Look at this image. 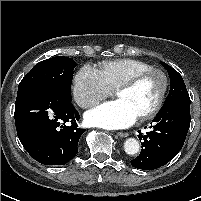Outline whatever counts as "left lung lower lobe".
Returning <instances> with one entry per match:
<instances>
[{
	"label": "left lung lower lobe",
	"instance_id": "left-lung-lower-lobe-1",
	"mask_svg": "<svg viewBox=\"0 0 201 201\" xmlns=\"http://www.w3.org/2000/svg\"><path fill=\"white\" fill-rule=\"evenodd\" d=\"M189 127L190 98L164 104L150 126L151 131L146 135L139 131L142 150L131 161L132 166L152 170L168 163L181 150Z\"/></svg>",
	"mask_w": 201,
	"mask_h": 201
}]
</instances>
